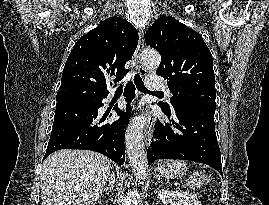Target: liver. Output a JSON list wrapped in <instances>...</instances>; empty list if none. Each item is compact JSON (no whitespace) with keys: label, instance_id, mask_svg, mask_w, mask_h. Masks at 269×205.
Here are the masks:
<instances>
[{"label":"liver","instance_id":"obj_1","mask_svg":"<svg viewBox=\"0 0 269 205\" xmlns=\"http://www.w3.org/2000/svg\"><path fill=\"white\" fill-rule=\"evenodd\" d=\"M110 168L109 159L93 151L54 152L43 163L41 205H94Z\"/></svg>","mask_w":269,"mask_h":205}]
</instances>
